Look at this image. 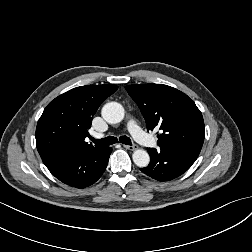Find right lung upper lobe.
<instances>
[{
	"instance_id": "obj_1",
	"label": "right lung upper lobe",
	"mask_w": 252,
	"mask_h": 252,
	"mask_svg": "<svg viewBox=\"0 0 252 252\" xmlns=\"http://www.w3.org/2000/svg\"><path fill=\"white\" fill-rule=\"evenodd\" d=\"M118 87L86 85L73 88L51 101L37 123L36 146L45 165L77 151L105 147L85 142L92 118L100 104Z\"/></svg>"
}]
</instances>
